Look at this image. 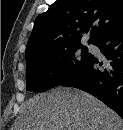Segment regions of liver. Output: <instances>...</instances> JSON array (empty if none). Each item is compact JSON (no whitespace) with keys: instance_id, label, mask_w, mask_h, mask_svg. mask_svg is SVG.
Wrapping results in <instances>:
<instances>
[{"instance_id":"1","label":"liver","mask_w":123,"mask_h":130,"mask_svg":"<svg viewBox=\"0 0 123 130\" xmlns=\"http://www.w3.org/2000/svg\"><path fill=\"white\" fill-rule=\"evenodd\" d=\"M14 130H123V120L103 102L73 88L56 87L23 104Z\"/></svg>"}]
</instances>
